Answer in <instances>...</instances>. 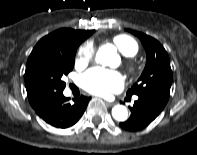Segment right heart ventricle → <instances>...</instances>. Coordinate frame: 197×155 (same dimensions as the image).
<instances>
[{
  "label": "right heart ventricle",
  "instance_id": "obj_1",
  "mask_svg": "<svg viewBox=\"0 0 197 155\" xmlns=\"http://www.w3.org/2000/svg\"><path fill=\"white\" fill-rule=\"evenodd\" d=\"M113 43L124 56L133 57L138 53V43L128 35L115 36Z\"/></svg>",
  "mask_w": 197,
  "mask_h": 155
}]
</instances>
